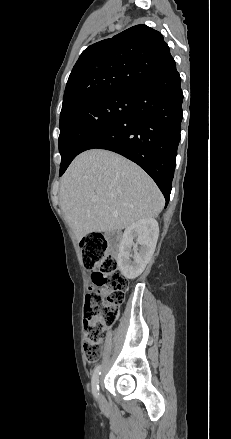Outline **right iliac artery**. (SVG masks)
Listing matches in <instances>:
<instances>
[{
	"mask_svg": "<svg viewBox=\"0 0 231 439\" xmlns=\"http://www.w3.org/2000/svg\"><path fill=\"white\" fill-rule=\"evenodd\" d=\"M101 366H97L92 375V392L96 398L99 396V375L101 374Z\"/></svg>",
	"mask_w": 231,
	"mask_h": 439,
	"instance_id": "1",
	"label": "right iliac artery"
}]
</instances>
